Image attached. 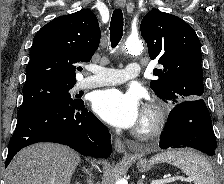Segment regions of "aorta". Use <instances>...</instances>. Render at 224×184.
<instances>
[{
    "instance_id": "762f6f07",
    "label": "aorta",
    "mask_w": 224,
    "mask_h": 184,
    "mask_svg": "<svg viewBox=\"0 0 224 184\" xmlns=\"http://www.w3.org/2000/svg\"><path fill=\"white\" fill-rule=\"evenodd\" d=\"M143 49L142 41L138 38H128L121 46L122 51L135 54L141 52ZM115 184H125L123 179H118Z\"/></svg>"
}]
</instances>
